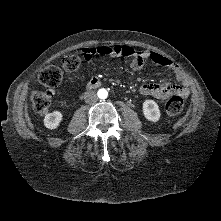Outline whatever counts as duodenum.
Returning a JSON list of instances; mask_svg holds the SVG:
<instances>
[{"mask_svg": "<svg viewBox=\"0 0 221 221\" xmlns=\"http://www.w3.org/2000/svg\"><path fill=\"white\" fill-rule=\"evenodd\" d=\"M102 81L98 77H93L87 83V88L92 89L101 86Z\"/></svg>", "mask_w": 221, "mask_h": 221, "instance_id": "410a0bca", "label": "duodenum"}]
</instances>
